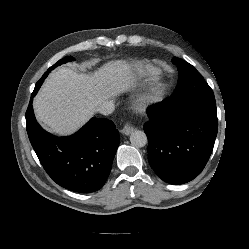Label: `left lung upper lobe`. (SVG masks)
I'll return each instance as SVG.
<instances>
[{
    "label": "left lung upper lobe",
    "instance_id": "1",
    "mask_svg": "<svg viewBox=\"0 0 249 249\" xmlns=\"http://www.w3.org/2000/svg\"><path fill=\"white\" fill-rule=\"evenodd\" d=\"M172 62L178 66L179 71L178 84L172 95L174 106L197 101L215 102L212 89L191 64L177 57H174Z\"/></svg>",
    "mask_w": 249,
    "mask_h": 249
}]
</instances>
